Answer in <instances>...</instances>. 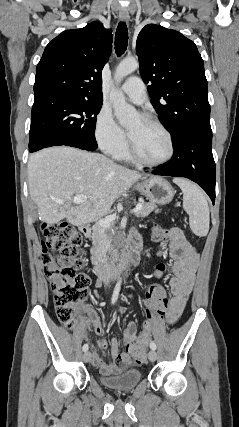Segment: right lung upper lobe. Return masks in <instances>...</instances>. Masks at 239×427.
Returning <instances> with one entry per match:
<instances>
[{"label": "right lung upper lobe", "mask_w": 239, "mask_h": 427, "mask_svg": "<svg viewBox=\"0 0 239 427\" xmlns=\"http://www.w3.org/2000/svg\"><path fill=\"white\" fill-rule=\"evenodd\" d=\"M112 49V31L99 22L66 30L45 48L36 68V99L102 102L101 72Z\"/></svg>", "instance_id": "1"}]
</instances>
